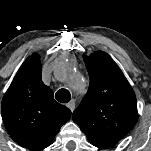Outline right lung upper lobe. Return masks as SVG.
Returning a JSON list of instances; mask_svg holds the SVG:
<instances>
[{
  "mask_svg": "<svg viewBox=\"0 0 151 151\" xmlns=\"http://www.w3.org/2000/svg\"><path fill=\"white\" fill-rule=\"evenodd\" d=\"M1 113L11 138L34 151L52 144L61 126L71 117V111L57 103L52 90L42 82L37 53L19 68L3 97Z\"/></svg>",
  "mask_w": 151,
  "mask_h": 151,
  "instance_id": "1",
  "label": "right lung upper lobe"
}]
</instances>
